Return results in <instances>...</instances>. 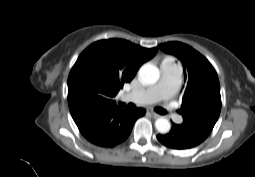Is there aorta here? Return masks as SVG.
<instances>
[{
  "label": "aorta",
  "mask_w": 255,
  "mask_h": 177,
  "mask_svg": "<svg viewBox=\"0 0 255 177\" xmlns=\"http://www.w3.org/2000/svg\"><path fill=\"white\" fill-rule=\"evenodd\" d=\"M159 77V69L151 63L144 64L139 70V79L144 84H155L159 80ZM155 127L158 132L165 134L170 131L171 124L166 118L161 117L155 121Z\"/></svg>",
  "instance_id": "obj_1"
}]
</instances>
